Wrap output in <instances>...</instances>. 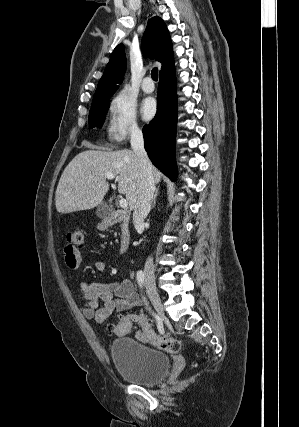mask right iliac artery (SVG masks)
Listing matches in <instances>:
<instances>
[{
  "label": "right iliac artery",
  "mask_w": 299,
  "mask_h": 427,
  "mask_svg": "<svg viewBox=\"0 0 299 427\" xmlns=\"http://www.w3.org/2000/svg\"><path fill=\"white\" fill-rule=\"evenodd\" d=\"M136 278H137V282H138L140 288H143V284H144V273L141 270L137 272ZM143 299H144L145 305L148 307L149 305H148L147 300L145 299V297H143ZM148 309L150 310L149 307H148Z\"/></svg>",
  "instance_id": "right-iliac-artery-1"
}]
</instances>
